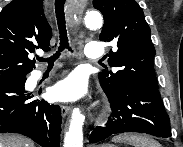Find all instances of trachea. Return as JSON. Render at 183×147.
Wrapping results in <instances>:
<instances>
[{"mask_svg": "<svg viewBox=\"0 0 183 147\" xmlns=\"http://www.w3.org/2000/svg\"><path fill=\"white\" fill-rule=\"evenodd\" d=\"M64 4H65V0H56L55 1V13H56V18H57L59 34H60V46H59L58 51L53 56H51L50 58H47V59H45L43 57H37V60L40 62L47 61L49 67L53 66L54 61L57 58H59L60 53L64 49H68L69 51H72L71 47L69 46L68 37H67L65 14H64Z\"/></svg>", "mask_w": 183, "mask_h": 147, "instance_id": "1", "label": "trachea"}]
</instances>
